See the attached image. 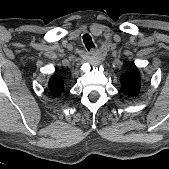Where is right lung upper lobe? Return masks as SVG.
Instances as JSON below:
<instances>
[{"label":"right lung upper lobe","mask_w":169,"mask_h":169,"mask_svg":"<svg viewBox=\"0 0 169 169\" xmlns=\"http://www.w3.org/2000/svg\"><path fill=\"white\" fill-rule=\"evenodd\" d=\"M49 89L54 96H59L64 91L63 81L56 76H52L49 80Z\"/></svg>","instance_id":"1"}]
</instances>
